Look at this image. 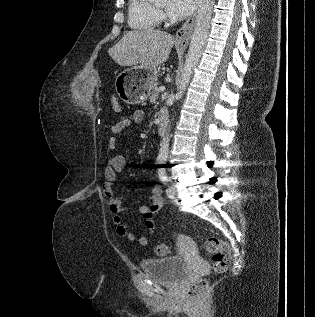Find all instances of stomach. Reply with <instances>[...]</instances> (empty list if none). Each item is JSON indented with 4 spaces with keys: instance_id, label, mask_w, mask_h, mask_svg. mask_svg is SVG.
Instances as JSON below:
<instances>
[{
    "instance_id": "stomach-1",
    "label": "stomach",
    "mask_w": 315,
    "mask_h": 317,
    "mask_svg": "<svg viewBox=\"0 0 315 317\" xmlns=\"http://www.w3.org/2000/svg\"><path fill=\"white\" fill-rule=\"evenodd\" d=\"M157 69L131 67L121 72L115 80V89L119 98L130 105L143 103L156 84Z\"/></svg>"
}]
</instances>
